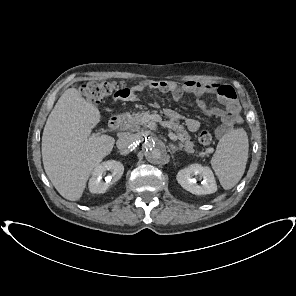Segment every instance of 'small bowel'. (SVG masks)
Listing matches in <instances>:
<instances>
[{"label":"small bowel","instance_id":"small-bowel-1","mask_svg":"<svg viewBox=\"0 0 296 296\" xmlns=\"http://www.w3.org/2000/svg\"><path fill=\"white\" fill-rule=\"evenodd\" d=\"M146 89H155L164 93H169L175 100L180 99L184 94L197 97L208 94L216 95L220 107L211 109L208 114L211 117L219 119V125L217 127V134L219 136L226 134L237 122L241 120V108L237 100L236 93L234 89L227 84L193 80L184 83L176 81L147 80L135 84L128 89L124 96L119 98L126 101H137L139 99V93ZM165 114L174 120L180 118V115L172 109H166ZM185 124L191 132H196L200 128V122L195 118H186Z\"/></svg>","mask_w":296,"mask_h":296}]
</instances>
